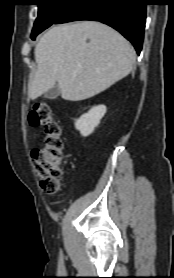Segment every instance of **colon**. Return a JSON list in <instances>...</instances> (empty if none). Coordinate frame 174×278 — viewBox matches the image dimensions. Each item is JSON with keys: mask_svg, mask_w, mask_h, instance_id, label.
Returning <instances> with one entry per match:
<instances>
[{"mask_svg": "<svg viewBox=\"0 0 174 278\" xmlns=\"http://www.w3.org/2000/svg\"><path fill=\"white\" fill-rule=\"evenodd\" d=\"M28 122L43 128L45 134L41 146L32 151V164L40 178V188L45 194H56L61 188L65 148L61 125L55 120L50 106L41 101L30 109Z\"/></svg>", "mask_w": 174, "mask_h": 278, "instance_id": "1", "label": "colon"}]
</instances>
